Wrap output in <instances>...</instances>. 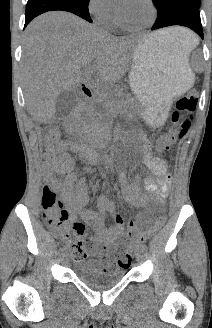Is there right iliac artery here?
<instances>
[{
	"instance_id": "1",
	"label": "right iliac artery",
	"mask_w": 212,
	"mask_h": 328,
	"mask_svg": "<svg viewBox=\"0 0 212 328\" xmlns=\"http://www.w3.org/2000/svg\"><path fill=\"white\" fill-rule=\"evenodd\" d=\"M65 249L64 248H60L59 249V253L62 255L64 253Z\"/></svg>"
}]
</instances>
